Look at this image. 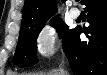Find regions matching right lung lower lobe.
<instances>
[{
  "mask_svg": "<svg viewBox=\"0 0 107 75\" xmlns=\"http://www.w3.org/2000/svg\"><path fill=\"white\" fill-rule=\"evenodd\" d=\"M88 23L76 27L63 50L75 75H107V0H84ZM85 33L87 41L80 40Z\"/></svg>",
  "mask_w": 107,
  "mask_h": 75,
  "instance_id": "obj_1",
  "label": "right lung lower lobe"
}]
</instances>
